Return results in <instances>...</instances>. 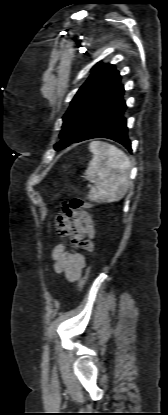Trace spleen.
<instances>
[{
    "mask_svg": "<svg viewBox=\"0 0 168 415\" xmlns=\"http://www.w3.org/2000/svg\"><path fill=\"white\" fill-rule=\"evenodd\" d=\"M93 154L85 178L95 183L89 197L99 202H117L126 194L129 186L130 160L114 145L93 141L89 145Z\"/></svg>",
    "mask_w": 168,
    "mask_h": 415,
    "instance_id": "spleen-1",
    "label": "spleen"
}]
</instances>
